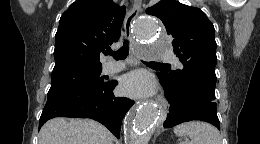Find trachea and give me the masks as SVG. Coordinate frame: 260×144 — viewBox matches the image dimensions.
I'll list each match as a JSON object with an SVG mask.
<instances>
[{
	"mask_svg": "<svg viewBox=\"0 0 260 144\" xmlns=\"http://www.w3.org/2000/svg\"><path fill=\"white\" fill-rule=\"evenodd\" d=\"M128 53H129V46H128V42L126 41L124 42L123 46L119 50H117L116 52L112 50H107L105 55L113 56L114 59L116 60H124L128 56ZM146 63L165 65L164 63H160V62H146Z\"/></svg>",
	"mask_w": 260,
	"mask_h": 144,
	"instance_id": "1",
	"label": "trachea"
}]
</instances>
